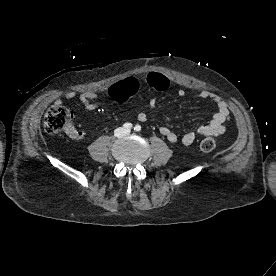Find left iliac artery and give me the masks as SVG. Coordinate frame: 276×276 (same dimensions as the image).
Here are the masks:
<instances>
[{
	"mask_svg": "<svg viewBox=\"0 0 276 276\" xmlns=\"http://www.w3.org/2000/svg\"><path fill=\"white\" fill-rule=\"evenodd\" d=\"M134 130L137 131V132H139L141 130V126L140 125H136L134 127Z\"/></svg>",
	"mask_w": 276,
	"mask_h": 276,
	"instance_id": "44dca946",
	"label": "left iliac artery"
}]
</instances>
